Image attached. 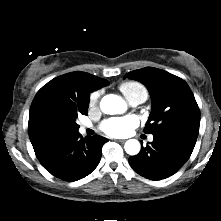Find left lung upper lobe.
Wrapping results in <instances>:
<instances>
[{
    "label": "left lung upper lobe",
    "instance_id": "left-lung-upper-lobe-1",
    "mask_svg": "<svg viewBox=\"0 0 221 221\" xmlns=\"http://www.w3.org/2000/svg\"><path fill=\"white\" fill-rule=\"evenodd\" d=\"M143 83L152 98V111L144 132L175 130L198 137L200 111L188 84L161 69L146 67L126 74Z\"/></svg>",
    "mask_w": 221,
    "mask_h": 221
}]
</instances>
